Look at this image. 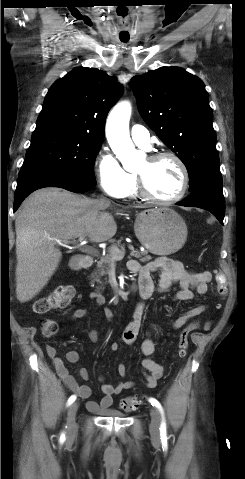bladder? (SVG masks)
Wrapping results in <instances>:
<instances>
[{
	"label": "bladder",
	"instance_id": "bladder-1",
	"mask_svg": "<svg viewBox=\"0 0 245 479\" xmlns=\"http://www.w3.org/2000/svg\"><path fill=\"white\" fill-rule=\"evenodd\" d=\"M104 417H119L123 418L125 415L124 413L117 411V410H106L103 412Z\"/></svg>",
	"mask_w": 245,
	"mask_h": 479
}]
</instances>
